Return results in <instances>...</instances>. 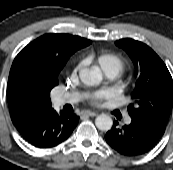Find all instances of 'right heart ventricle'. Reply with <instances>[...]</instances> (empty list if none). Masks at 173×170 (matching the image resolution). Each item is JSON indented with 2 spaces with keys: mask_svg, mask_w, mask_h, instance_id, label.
Masks as SVG:
<instances>
[{
  "mask_svg": "<svg viewBox=\"0 0 173 170\" xmlns=\"http://www.w3.org/2000/svg\"><path fill=\"white\" fill-rule=\"evenodd\" d=\"M99 63L102 66H110L112 67L116 73H119L123 69V64L120 60L108 56H103L99 59Z\"/></svg>",
  "mask_w": 173,
  "mask_h": 170,
  "instance_id": "e07e8e85",
  "label": "right heart ventricle"
}]
</instances>
